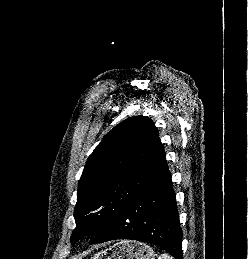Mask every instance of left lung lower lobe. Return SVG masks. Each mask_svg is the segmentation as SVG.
I'll list each match as a JSON object with an SVG mask.
<instances>
[{"mask_svg": "<svg viewBox=\"0 0 248 259\" xmlns=\"http://www.w3.org/2000/svg\"><path fill=\"white\" fill-rule=\"evenodd\" d=\"M114 239L148 242L166 250L175 259H183L182 230L169 171L163 180L129 204L90 243Z\"/></svg>", "mask_w": 248, "mask_h": 259, "instance_id": "obj_1", "label": "left lung lower lobe"}]
</instances>
